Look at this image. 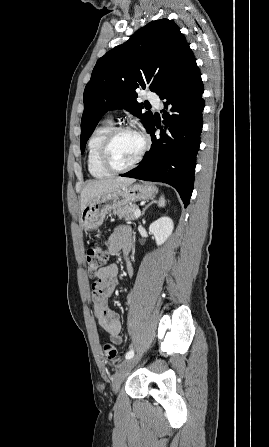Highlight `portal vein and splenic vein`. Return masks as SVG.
<instances>
[{
	"instance_id": "1",
	"label": "portal vein and splenic vein",
	"mask_w": 269,
	"mask_h": 447,
	"mask_svg": "<svg viewBox=\"0 0 269 447\" xmlns=\"http://www.w3.org/2000/svg\"><path fill=\"white\" fill-rule=\"evenodd\" d=\"M134 216H135L136 220H137V218H140L141 212H140L139 208H136V210L134 212Z\"/></svg>"
}]
</instances>
